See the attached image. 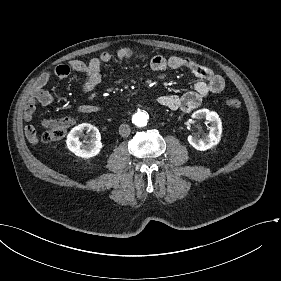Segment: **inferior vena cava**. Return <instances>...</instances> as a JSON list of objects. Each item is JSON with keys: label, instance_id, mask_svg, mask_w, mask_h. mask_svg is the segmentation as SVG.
I'll return each instance as SVG.
<instances>
[{"label": "inferior vena cava", "instance_id": "602c4592", "mask_svg": "<svg viewBox=\"0 0 281 281\" xmlns=\"http://www.w3.org/2000/svg\"><path fill=\"white\" fill-rule=\"evenodd\" d=\"M119 134L122 137H127L130 134V127L128 124L123 123L119 126Z\"/></svg>", "mask_w": 281, "mask_h": 281}]
</instances>
